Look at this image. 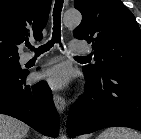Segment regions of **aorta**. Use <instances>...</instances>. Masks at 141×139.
<instances>
[{
  "label": "aorta",
  "instance_id": "obj_1",
  "mask_svg": "<svg viewBox=\"0 0 141 139\" xmlns=\"http://www.w3.org/2000/svg\"><path fill=\"white\" fill-rule=\"evenodd\" d=\"M82 20V15L79 11L69 10L64 14L63 21L68 27L78 26ZM60 139H67L60 130Z\"/></svg>",
  "mask_w": 141,
  "mask_h": 139
}]
</instances>
